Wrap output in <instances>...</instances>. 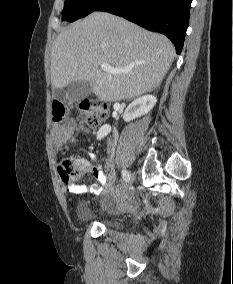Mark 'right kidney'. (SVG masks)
<instances>
[{"mask_svg": "<svg viewBox=\"0 0 233 284\" xmlns=\"http://www.w3.org/2000/svg\"><path fill=\"white\" fill-rule=\"evenodd\" d=\"M156 102L157 99L154 95H145L135 99L126 108L123 115L124 121L129 122L135 118L147 114L154 107ZM110 132L111 126L108 124L103 125L97 133V139L101 140Z\"/></svg>", "mask_w": 233, "mask_h": 284, "instance_id": "right-kidney-1", "label": "right kidney"}]
</instances>
